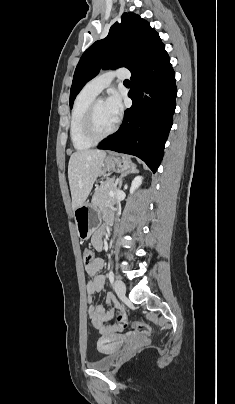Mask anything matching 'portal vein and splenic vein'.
<instances>
[{
	"label": "portal vein and splenic vein",
	"mask_w": 235,
	"mask_h": 404,
	"mask_svg": "<svg viewBox=\"0 0 235 404\" xmlns=\"http://www.w3.org/2000/svg\"><path fill=\"white\" fill-rule=\"evenodd\" d=\"M115 194H116V192H115V191H111V192L109 193V196H110V197H114V196H115Z\"/></svg>",
	"instance_id": "portal-vein-and-splenic-vein-1"
}]
</instances>
